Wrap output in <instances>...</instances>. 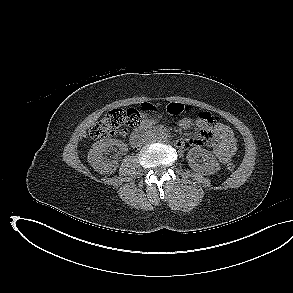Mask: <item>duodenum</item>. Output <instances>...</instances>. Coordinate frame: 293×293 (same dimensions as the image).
Here are the masks:
<instances>
[{"instance_id":"1","label":"duodenum","mask_w":293,"mask_h":293,"mask_svg":"<svg viewBox=\"0 0 293 293\" xmlns=\"http://www.w3.org/2000/svg\"><path fill=\"white\" fill-rule=\"evenodd\" d=\"M152 135L164 136L167 135V131L161 128H153L149 125H142L131 134L130 143L133 146H139L145 138Z\"/></svg>"}]
</instances>
